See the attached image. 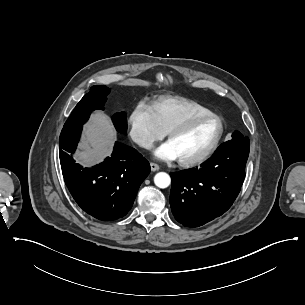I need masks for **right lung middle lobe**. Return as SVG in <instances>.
<instances>
[{"instance_id":"right-lung-middle-lobe-1","label":"right lung middle lobe","mask_w":305,"mask_h":305,"mask_svg":"<svg viewBox=\"0 0 305 305\" xmlns=\"http://www.w3.org/2000/svg\"><path fill=\"white\" fill-rule=\"evenodd\" d=\"M110 90L106 86H93L80 102L76 105L70 117L64 124V128L82 126L89 118L90 113L96 109H103ZM116 129L125 133L127 130V117L125 112L116 113L113 116Z\"/></svg>"}]
</instances>
